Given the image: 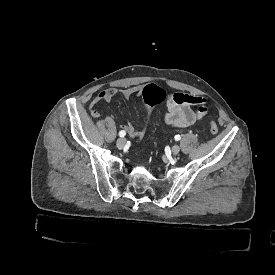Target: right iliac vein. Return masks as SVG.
<instances>
[{
  "instance_id": "63e3f726",
  "label": "right iliac vein",
  "mask_w": 275,
  "mask_h": 275,
  "mask_svg": "<svg viewBox=\"0 0 275 275\" xmlns=\"http://www.w3.org/2000/svg\"><path fill=\"white\" fill-rule=\"evenodd\" d=\"M126 144V139L125 138H119L116 142V146L119 149H122Z\"/></svg>"
}]
</instances>
